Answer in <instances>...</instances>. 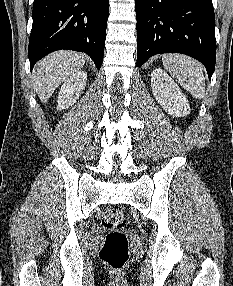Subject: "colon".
<instances>
[{
	"mask_svg": "<svg viewBox=\"0 0 233 286\" xmlns=\"http://www.w3.org/2000/svg\"><path fill=\"white\" fill-rule=\"evenodd\" d=\"M126 216L118 209H108L102 217V225L109 230L99 251L100 259L114 272L121 271L128 262V241L122 231Z\"/></svg>",
	"mask_w": 233,
	"mask_h": 286,
	"instance_id": "1",
	"label": "colon"
}]
</instances>
